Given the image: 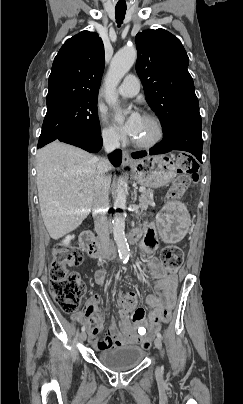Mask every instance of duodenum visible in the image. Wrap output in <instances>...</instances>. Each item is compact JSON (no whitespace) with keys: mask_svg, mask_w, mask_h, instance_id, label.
Returning <instances> with one entry per match:
<instances>
[{"mask_svg":"<svg viewBox=\"0 0 243 404\" xmlns=\"http://www.w3.org/2000/svg\"><path fill=\"white\" fill-rule=\"evenodd\" d=\"M139 232L132 231L129 235V240L132 244L136 243L139 239ZM80 244L82 249L87 253L88 256L97 259H113L115 253L112 249H107L102 246V244L96 240L91 231H83L80 235Z\"/></svg>","mask_w":243,"mask_h":404,"instance_id":"duodenum-1","label":"duodenum"}]
</instances>
